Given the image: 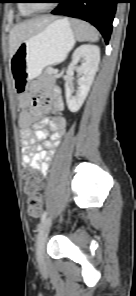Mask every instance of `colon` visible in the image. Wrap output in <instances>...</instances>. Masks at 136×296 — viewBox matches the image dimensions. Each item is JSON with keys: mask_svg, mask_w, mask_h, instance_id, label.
<instances>
[{"mask_svg": "<svg viewBox=\"0 0 136 296\" xmlns=\"http://www.w3.org/2000/svg\"><path fill=\"white\" fill-rule=\"evenodd\" d=\"M42 188L43 184L34 172L28 170L24 173V189L29 195L28 213L32 217H38L41 213L43 197L40 191Z\"/></svg>", "mask_w": 136, "mask_h": 296, "instance_id": "colon-1", "label": "colon"}]
</instances>
